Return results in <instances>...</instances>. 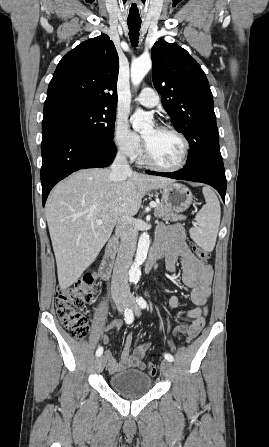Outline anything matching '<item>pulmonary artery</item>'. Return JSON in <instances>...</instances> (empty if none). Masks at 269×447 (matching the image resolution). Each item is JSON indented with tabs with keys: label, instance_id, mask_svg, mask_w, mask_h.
Instances as JSON below:
<instances>
[{
	"label": "pulmonary artery",
	"instance_id": "obj_1",
	"mask_svg": "<svg viewBox=\"0 0 269 447\" xmlns=\"http://www.w3.org/2000/svg\"><path fill=\"white\" fill-rule=\"evenodd\" d=\"M136 101L147 108H155L160 103V97L155 90L144 88L136 97Z\"/></svg>",
	"mask_w": 269,
	"mask_h": 447
}]
</instances>
